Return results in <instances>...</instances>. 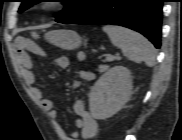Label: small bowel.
I'll return each instance as SVG.
<instances>
[{"mask_svg":"<svg viewBox=\"0 0 182 140\" xmlns=\"http://www.w3.org/2000/svg\"><path fill=\"white\" fill-rule=\"evenodd\" d=\"M27 51L41 53L40 48L33 43L24 39H19L17 41V60L22 67L24 79L28 85L33 86L34 95L40 101L42 109L48 113L51 119L55 120L57 111L54 102L50 98L44 97L42 90L34 86V63ZM55 64L60 68H66L69 65V59L66 56H59L55 59ZM81 77L85 80H91L93 74L83 71L81 72ZM74 86L77 87L78 82H76ZM73 110L76 117L75 126L80 130L82 137L85 140H95L98 135V123L86 109L84 101L82 99H77L74 102ZM78 135V131H74L70 140H77Z\"/></svg>","mask_w":182,"mask_h":140,"instance_id":"small-bowel-1","label":"small bowel"}]
</instances>
